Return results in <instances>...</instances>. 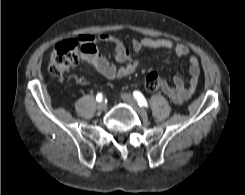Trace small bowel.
Returning a JSON list of instances; mask_svg holds the SVG:
<instances>
[{
    "label": "small bowel",
    "instance_id": "1",
    "mask_svg": "<svg viewBox=\"0 0 245 195\" xmlns=\"http://www.w3.org/2000/svg\"><path fill=\"white\" fill-rule=\"evenodd\" d=\"M109 42L114 47V60L117 64L107 61L97 50L96 42ZM78 42L83 47L81 58L87 62L92 69L108 79H117L133 74L138 68V61L132 57V52H139L143 48L165 50L181 58L189 54V48L183 43H172L168 39L142 38L133 40L130 49L127 48L118 38L109 34H100L98 37L84 34L78 37ZM88 48V49H86ZM190 79L185 85L180 76H174L171 86L164 83L162 91L176 104H182L188 100L196 90L200 76V63L195 56L189 57Z\"/></svg>",
    "mask_w": 245,
    "mask_h": 195
}]
</instances>
